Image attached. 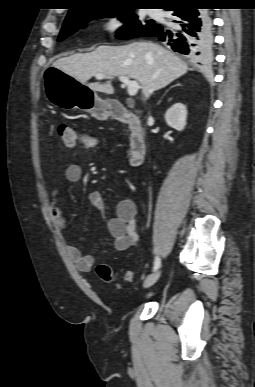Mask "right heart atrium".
Masks as SVG:
<instances>
[{
    "label": "right heart atrium",
    "instance_id": "d8ad5b80",
    "mask_svg": "<svg viewBox=\"0 0 255 387\" xmlns=\"http://www.w3.org/2000/svg\"><path fill=\"white\" fill-rule=\"evenodd\" d=\"M127 26V22L121 15H113L106 19L103 31L109 35L121 33Z\"/></svg>",
    "mask_w": 255,
    "mask_h": 387
}]
</instances>
